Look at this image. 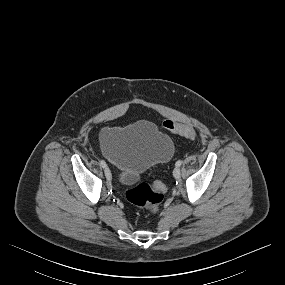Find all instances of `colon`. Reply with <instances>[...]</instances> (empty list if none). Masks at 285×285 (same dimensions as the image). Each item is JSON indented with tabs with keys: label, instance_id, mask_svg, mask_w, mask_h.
<instances>
[{
	"label": "colon",
	"instance_id": "colon-1",
	"mask_svg": "<svg viewBox=\"0 0 285 285\" xmlns=\"http://www.w3.org/2000/svg\"><path fill=\"white\" fill-rule=\"evenodd\" d=\"M165 129L169 132L193 140L197 133L191 126L166 120L163 123ZM165 184L161 181H155L152 184L140 183L129 188L126 197L133 205L155 211L164 198Z\"/></svg>",
	"mask_w": 285,
	"mask_h": 285
}]
</instances>
